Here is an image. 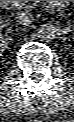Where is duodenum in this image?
<instances>
[{"instance_id":"duodenum-1","label":"duodenum","mask_w":74,"mask_h":122,"mask_svg":"<svg viewBox=\"0 0 74 122\" xmlns=\"http://www.w3.org/2000/svg\"><path fill=\"white\" fill-rule=\"evenodd\" d=\"M4 6H10L13 1H1ZM59 1H49L46 5L48 10H54Z\"/></svg>"}]
</instances>
